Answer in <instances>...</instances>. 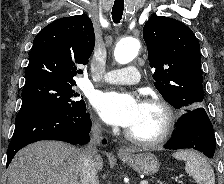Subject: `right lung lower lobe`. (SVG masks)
<instances>
[{"label":"right lung lower lobe","mask_w":224,"mask_h":184,"mask_svg":"<svg viewBox=\"0 0 224 184\" xmlns=\"http://www.w3.org/2000/svg\"><path fill=\"white\" fill-rule=\"evenodd\" d=\"M91 129L90 115L81 111L74 115L58 112L30 116L15 125L7 153V164L24 146L40 140H59L71 144H86Z\"/></svg>","instance_id":"98d812e1"}]
</instances>
